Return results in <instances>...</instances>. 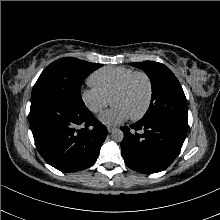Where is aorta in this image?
<instances>
[{"instance_id":"aorta-1","label":"aorta","mask_w":220,"mask_h":220,"mask_svg":"<svg viewBox=\"0 0 220 220\" xmlns=\"http://www.w3.org/2000/svg\"><path fill=\"white\" fill-rule=\"evenodd\" d=\"M111 136L113 140L121 142L123 140L124 134L120 129H115L112 131Z\"/></svg>"}]
</instances>
